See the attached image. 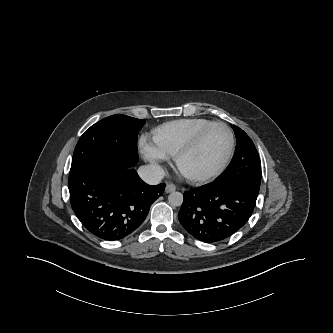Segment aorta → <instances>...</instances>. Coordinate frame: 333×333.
I'll return each instance as SVG.
<instances>
[{
	"label": "aorta",
	"instance_id": "obj_1",
	"mask_svg": "<svg viewBox=\"0 0 333 333\" xmlns=\"http://www.w3.org/2000/svg\"><path fill=\"white\" fill-rule=\"evenodd\" d=\"M168 201L171 206H180L183 203V195L180 192H172L168 196Z\"/></svg>",
	"mask_w": 333,
	"mask_h": 333
}]
</instances>
